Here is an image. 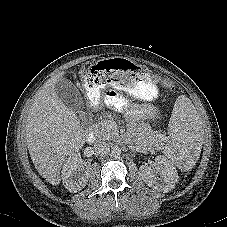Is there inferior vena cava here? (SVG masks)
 Listing matches in <instances>:
<instances>
[{"label": "inferior vena cava", "instance_id": "obj_1", "mask_svg": "<svg viewBox=\"0 0 227 227\" xmlns=\"http://www.w3.org/2000/svg\"><path fill=\"white\" fill-rule=\"evenodd\" d=\"M96 154L100 156L107 155L110 152V146L106 142H98L94 145Z\"/></svg>", "mask_w": 227, "mask_h": 227}]
</instances>
